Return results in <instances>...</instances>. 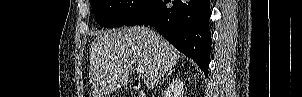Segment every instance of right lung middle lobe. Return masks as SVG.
<instances>
[{
	"label": "right lung middle lobe",
	"mask_w": 302,
	"mask_h": 97,
	"mask_svg": "<svg viewBox=\"0 0 302 97\" xmlns=\"http://www.w3.org/2000/svg\"><path fill=\"white\" fill-rule=\"evenodd\" d=\"M148 0H90L93 14L101 27L124 26Z\"/></svg>",
	"instance_id": "dd1d6c3e"
}]
</instances>
